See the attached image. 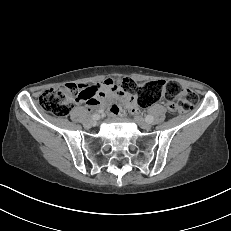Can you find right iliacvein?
I'll use <instances>...</instances> for the list:
<instances>
[{
  "instance_id": "right-iliac-vein-1",
  "label": "right iliac vein",
  "mask_w": 231,
  "mask_h": 231,
  "mask_svg": "<svg viewBox=\"0 0 231 231\" xmlns=\"http://www.w3.org/2000/svg\"><path fill=\"white\" fill-rule=\"evenodd\" d=\"M99 118H100V117H98V119L87 120V121L84 123V125H85L86 127H91V126L94 125V123H95L97 120H99Z\"/></svg>"
}]
</instances>
